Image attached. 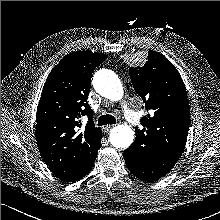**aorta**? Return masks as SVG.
<instances>
[{
  "mask_svg": "<svg viewBox=\"0 0 220 220\" xmlns=\"http://www.w3.org/2000/svg\"><path fill=\"white\" fill-rule=\"evenodd\" d=\"M93 87L102 97L118 101L123 96L122 85L115 74L108 70H99L93 77ZM110 143L115 148H128L134 140V131L128 125H119L110 133Z\"/></svg>",
  "mask_w": 220,
  "mask_h": 220,
  "instance_id": "obj_1",
  "label": "aorta"
}]
</instances>
